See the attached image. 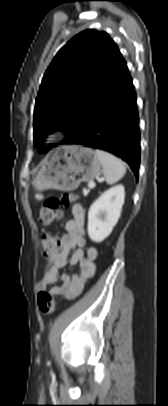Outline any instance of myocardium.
I'll return each instance as SVG.
<instances>
[{"label": "myocardium", "instance_id": "myocardium-1", "mask_svg": "<svg viewBox=\"0 0 168 406\" xmlns=\"http://www.w3.org/2000/svg\"><path fill=\"white\" fill-rule=\"evenodd\" d=\"M58 139V135L56 133H50L47 137H46V141L49 144H53L56 142V140Z\"/></svg>", "mask_w": 168, "mask_h": 406}]
</instances>
